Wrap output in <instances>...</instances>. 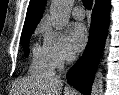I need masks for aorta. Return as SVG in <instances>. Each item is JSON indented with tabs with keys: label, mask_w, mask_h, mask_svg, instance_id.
Listing matches in <instances>:
<instances>
[{
	"label": "aorta",
	"mask_w": 119,
	"mask_h": 95,
	"mask_svg": "<svg viewBox=\"0 0 119 95\" xmlns=\"http://www.w3.org/2000/svg\"><path fill=\"white\" fill-rule=\"evenodd\" d=\"M74 0H52L50 16L54 27L62 30L68 24ZM91 95H103V74L99 69L95 75Z\"/></svg>",
	"instance_id": "aorta-1"
}]
</instances>
